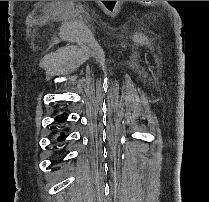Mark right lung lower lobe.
I'll list each match as a JSON object with an SVG mask.
<instances>
[{
	"instance_id": "obj_1",
	"label": "right lung lower lobe",
	"mask_w": 209,
	"mask_h": 202,
	"mask_svg": "<svg viewBox=\"0 0 209 202\" xmlns=\"http://www.w3.org/2000/svg\"><path fill=\"white\" fill-rule=\"evenodd\" d=\"M67 118H68L67 114H62L60 116H57L55 120L58 121V122H64ZM65 138H66V136H64V134L61 133V136L59 137V141H62Z\"/></svg>"
}]
</instances>
